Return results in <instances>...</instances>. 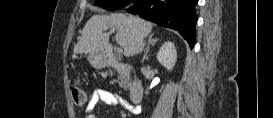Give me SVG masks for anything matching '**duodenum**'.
<instances>
[{"label": "duodenum", "instance_id": "duodenum-1", "mask_svg": "<svg viewBox=\"0 0 273 118\" xmlns=\"http://www.w3.org/2000/svg\"><path fill=\"white\" fill-rule=\"evenodd\" d=\"M105 61L112 67L117 68L122 74L128 76L132 72V68L128 64L119 63L115 57L107 52L104 56ZM144 93L143 84L138 80H133L129 88V97L133 103H139Z\"/></svg>", "mask_w": 273, "mask_h": 118}]
</instances>
